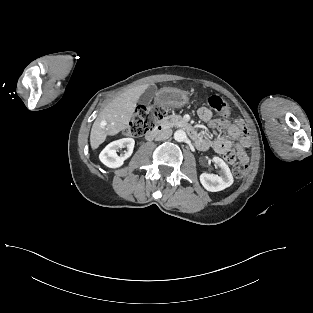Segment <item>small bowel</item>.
Here are the masks:
<instances>
[{
	"mask_svg": "<svg viewBox=\"0 0 313 313\" xmlns=\"http://www.w3.org/2000/svg\"><path fill=\"white\" fill-rule=\"evenodd\" d=\"M198 116L209 127L218 130L221 134L214 139H206L198 135L195 140L196 147L200 151L212 148L216 153L224 157L228 153L234 154L238 158H246V149L251 145V136L249 130L242 120H222L214 118L210 109L202 107L198 110ZM235 150L232 149L233 143Z\"/></svg>",
	"mask_w": 313,
	"mask_h": 313,
	"instance_id": "c3829d8e",
	"label": "small bowel"
}]
</instances>
